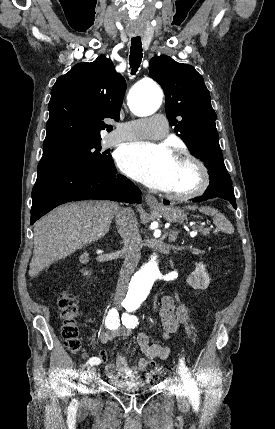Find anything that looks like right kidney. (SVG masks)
I'll use <instances>...</instances> for the list:
<instances>
[{
  "mask_svg": "<svg viewBox=\"0 0 275 429\" xmlns=\"http://www.w3.org/2000/svg\"><path fill=\"white\" fill-rule=\"evenodd\" d=\"M80 262L82 263V264H86V263H88L89 262V255H88V253L87 252H85V253H83L81 256H80ZM89 274V272L88 271H84V275H88Z\"/></svg>",
  "mask_w": 275,
  "mask_h": 429,
  "instance_id": "ca27d5eb",
  "label": "right kidney"
}]
</instances>
